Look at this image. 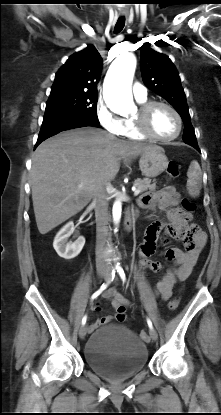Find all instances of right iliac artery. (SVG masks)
Instances as JSON below:
<instances>
[{"mask_svg": "<svg viewBox=\"0 0 221 415\" xmlns=\"http://www.w3.org/2000/svg\"><path fill=\"white\" fill-rule=\"evenodd\" d=\"M114 271L112 272V276H111V278L108 280V282L107 283H103L102 285H101V287L92 295V297H91V299L93 300V299H95V298H97L106 288H107V286H108V284L113 280V278H114ZM86 320H87V316L85 315L83 318H82V325H84L85 323H86Z\"/></svg>", "mask_w": 221, "mask_h": 415, "instance_id": "obj_1", "label": "right iliac artery"}]
</instances>
